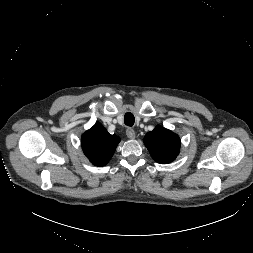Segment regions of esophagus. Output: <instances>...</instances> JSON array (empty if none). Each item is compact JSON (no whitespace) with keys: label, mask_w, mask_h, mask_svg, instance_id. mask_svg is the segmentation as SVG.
I'll return each mask as SVG.
<instances>
[{"label":"esophagus","mask_w":253,"mask_h":253,"mask_svg":"<svg viewBox=\"0 0 253 253\" xmlns=\"http://www.w3.org/2000/svg\"><path fill=\"white\" fill-rule=\"evenodd\" d=\"M126 135H127L128 138L134 139L135 136H136V133H135V131H134L133 129L128 128V129L126 130Z\"/></svg>","instance_id":"1"}]
</instances>
